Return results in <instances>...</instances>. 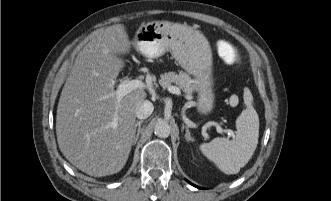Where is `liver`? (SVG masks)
I'll return each mask as SVG.
<instances>
[{
  "mask_svg": "<svg viewBox=\"0 0 331 201\" xmlns=\"http://www.w3.org/2000/svg\"><path fill=\"white\" fill-rule=\"evenodd\" d=\"M131 44L123 24L100 30L78 53L61 92L56 115L59 149L90 176L121 171L131 151L135 110L147 94L136 89L120 102L113 95L124 67L117 56L129 53ZM114 118L116 128L111 126Z\"/></svg>",
  "mask_w": 331,
  "mask_h": 201,
  "instance_id": "6515ba94",
  "label": "liver"
}]
</instances>
